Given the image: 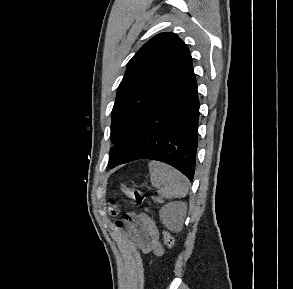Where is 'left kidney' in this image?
<instances>
[{
  "label": "left kidney",
  "instance_id": "5707ae66",
  "mask_svg": "<svg viewBox=\"0 0 293 289\" xmlns=\"http://www.w3.org/2000/svg\"><path fill=\"white\" fill-rule=\"evenodd\" d=\"M187 205L184 202H171L163 206L159 212L163 225L171 231H178L182 226Z\"/></svg>",
  "mask_w": 293,
  "mask_h": 289
}]
</instances>
